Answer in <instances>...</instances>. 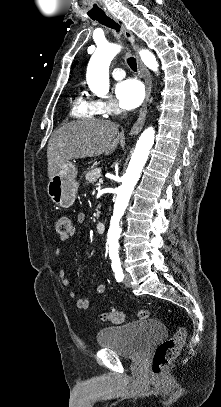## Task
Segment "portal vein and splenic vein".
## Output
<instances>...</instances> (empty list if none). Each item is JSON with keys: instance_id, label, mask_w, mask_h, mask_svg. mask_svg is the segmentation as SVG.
<instances>
[{"instance_id": "obj_1", "label": "portal vein and splenic vein", "mask_w": 221, "mask_h": 407, "mask_svg": "<svg viewBox=\"0 0 221 407\" xmlns=\"http://www.w3.org/2000/svg\"><path fill=\"white\" fill-rule=\"evenodd\" d=\"M102 182H103V178H100V179H99V183H102Z\"/></svg>"}]
</instances>
